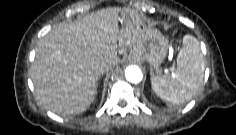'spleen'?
Listing matches in <instances>:
<instances>
[{
    "instance_id": "spleen-1",
    "label": "spleen",
    "mask_w": 236,
    "mask_h": 135,
    "mask_svg": "<svg viewBox=\"0 0 236 135\" xmlns=\"http://www.w3.org/2000/svg\"><path fill=\"white\" fill-rule=\"evenodd\" d=\"M204 69V57L198 40L192 35H185L173 74L159 73L151 77L152 88L169 103H184L191 100L200 88Z\"/></svg>"
}]
</instances>
